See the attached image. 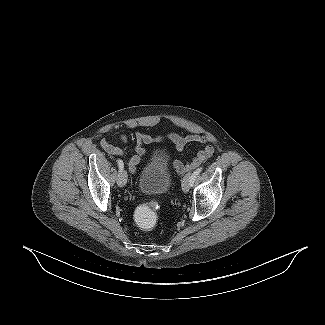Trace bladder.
<instances>
[{
  "instance_id": "1",
  "label": "bladder",
  "mask_w": 325,
  "mask_h": 325,
  "mask_svg": "<svg viewBox=\"0 0 325 325\" xmlns=\"http://www.w3.org/2000/svg\"><path fill=\"white\" fill-rule=\"evenodd\" d=\"M169 154L164 149H155L141 169L137 183L144 194L164 195L172 188Z\"/></svg>"
}]
</instances>
